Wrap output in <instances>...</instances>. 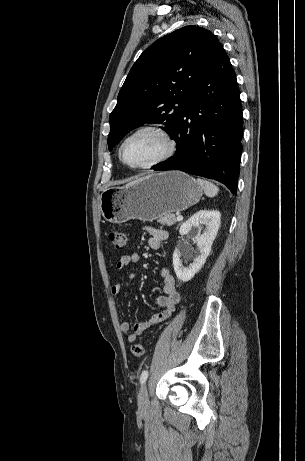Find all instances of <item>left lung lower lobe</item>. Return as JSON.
Listing matches in <instances>:
<instances>
[{
	"label": "left lung lower lobe",
	"mask_w": 305,
	"mask_h": 461,
	"mask_svg": "<svg viewBox=\"0 0 305 461\" xmlns=\"http://www.w3.org/2000/svg\"><path fill=\"white\" fill-rule=\"evenodd\" d=\"M243 117L234 70L224 49L189 94L172 134L177 151L152 169L181 170L215 179L237 193Z\"/></svg>",
	"instance_id": "0a47b994"
}]
</instances>
